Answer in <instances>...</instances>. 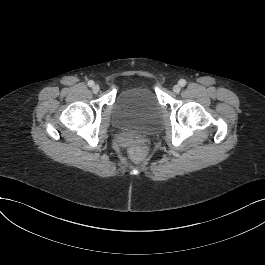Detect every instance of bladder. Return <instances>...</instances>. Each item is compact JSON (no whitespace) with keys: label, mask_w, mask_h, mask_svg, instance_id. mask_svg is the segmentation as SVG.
Returning a JSON list of instances; mask_svg holds the SVG:
<instances>
[{"label":"bladder","mask_w":265,"mask_h":265,"mask_svg":"<svg viewBox=\"0 0 265 265\" xmlns=\"http://www.w3.org/2000/svg\"><path fill=\"white\" fill-rule=\"evenodd\" d=\"M117 124L142 131L158 125L160 114L155 94L148 88H127L114 102Z\"/></svg>","instance_id":"1"}]
</instances>
